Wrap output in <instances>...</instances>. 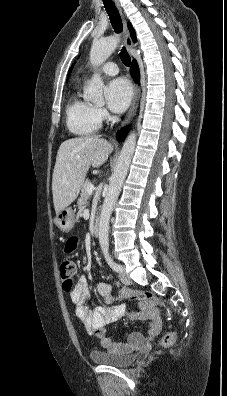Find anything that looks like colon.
Segmentation results:
<instances>
[{
  "mask_svg": "<svg viewBox=\"0 0 227 396\" xmlns=\"http://www.w3.org/2000/svg\"><path fill=\"white\" fill-rule=\"evenodd\" d=\"M59 272L61 277V283L64 291L70 292L74 288V278L76 273V265L73 261L69 259H63L59 263ZM132 299H145L151 302L153 305L160 306L166 310V313L171 317V311L168 308L166 302L158 295L152 292L134 293L131 294ZM177 338V332L172 330L166 333L160 341V344L164 348L171 347Z\"/></svg>",
  "mask_w": 227,
  "mask_h": 396,
  "instance_id": "5ec220e1",
  "label": "colon"
}]
</instances>
